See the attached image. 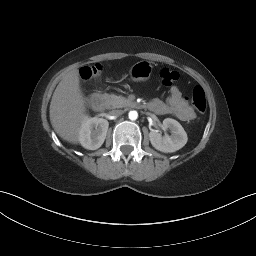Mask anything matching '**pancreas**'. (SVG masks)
<instances>
[{
    "mask_svg": "<svg viewBox=\"0 0 256 256\" xmlns=\"http://www.w3.org/2000/svg\"><path fill=\"white\" fill-rule=\"evenodd\" d=\"M104 97L111 108H122L128 106L131 102L123 96L114 94H104Z\"/></svg>",
    "mask_w": 256,
    "mask_h": 256,
    "instance_id": "1",
    "label": "pancreas"
}]
</instances>
